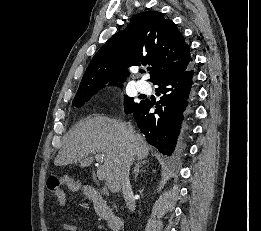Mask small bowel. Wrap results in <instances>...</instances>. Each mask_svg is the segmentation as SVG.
<instances>
[{"mask_svg":"<svg viewBox=\"0 0 261 231\" xmlns=\"http://www.w3.org/2000/svg\"><path fill=\"white\" fill-rule=\"evenodd\" d=\"M60 199H61V201H64L63 197H61ZM63 229L65 231H76L77 227L74 224L66 223V224L63 225ZM86 231H90V230H86Z\"/></svg>","mask_w":261,"mask_h":231,"instance_id":"c3829d8e","label":"small bowel"}]
</instances>
